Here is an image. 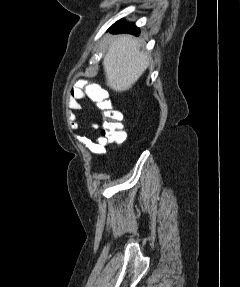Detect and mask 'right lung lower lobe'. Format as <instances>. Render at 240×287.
Returning a JSON list of instances; mask_svg holds the SVG:
<instances>
[{
	"instance_id": "98d812e1",
	"label": "right lung lower lobe",
	"mask_w": 240,
	"mask_h": 287,
	"mask_svg": "<svg viewBox=\"0 0 240 287\" xmlns=\"http://www.w3.org/2000/svg\"><path fill=\"white\" fill-rule=\"evenodd\" d=\"M110 29L117 33L126 32L135 35H138L139 32L138 28L133 23H126L123 20L116 22Z\"/></svg>"
}]
</instances>
